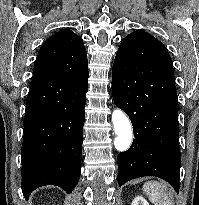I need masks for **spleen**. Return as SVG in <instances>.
<instances>
[{"instance_id":"obj_1","label":"spleen","mask_w":199,"mask_h":205,"mask_svg":"<svg viewBox=\"0 0 199 205\" xmlns=\"http://www.w3.org/2000/svg\"><path fill=\"white\" fill-rule=\"evenodd\" d=\"M143 190L154 205H174L173 192L162 182L148 181Z\"/></svg>"}]
</instances>
